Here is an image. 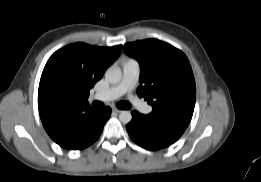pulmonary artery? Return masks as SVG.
Returning <instances> with one entry per match:
<instances>
[{"instance_id": "obj_1", "label": "pulmonary artery", "mask_w": 261, "mask_h": 182, "mask_svg": "<svg viewBox=\"0 0 261 182\" xmlns=\"http://www.w3.org/2000/svg\"><path fill=\"white\" fill-rule=\"evenodd\" d=\"M138 72L139 64L137 61H126L122 66V79L120 83L107 89L104 92L96 93L92 96V99L102 102H108L119 98L133 87ZM136 105L142 113L149 114L152 111V108L145 103L138 102Z\"/></svg>"}]
</instances>
